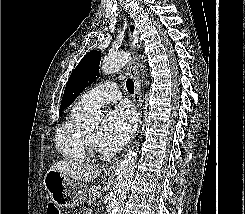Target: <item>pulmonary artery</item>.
<instances>
[{
    "mask_svg": "<svg viewBox=\"0 0 245 214\" xmlns=\"http://www.w3.org/2000/svg\"><path fill=\"white\" fill-rule=\"evenodd\" d=\"M120 98L121 92L118 86L114 82H104L84 93L80 102L91 109L116 102Z\"/></svg>",
    "mask_w": 245,
    "mask_h": 214,
    "instance_id": "1",
    "label": "pulmonary artery"
}]
</instances>
